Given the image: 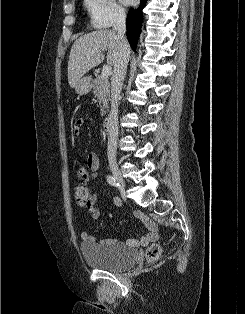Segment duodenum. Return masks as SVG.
<instances>
[{
	"label": "duodenum",
	"instance_id": "obj_1",
	"mask_svg": "<svg viewBox=\"0 0 245 314\" xmlns=\"http://www.w3.org/2000/svg\"><path fill=\"white\" fill-rule=\"evenodd\" d=\"M102 128L106 133H109L111 130V118L105 117L102 121Z\"/></svg>",
	"mask_w": 245,
	"mask_h": 314
}]
</instances>
